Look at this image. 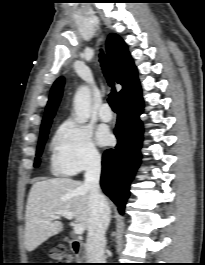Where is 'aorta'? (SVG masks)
<instances>
[{
  "instance_id": "obj_1",
  "label": "aorta",
  "mask_w": 205,
  "mask_h": 265,
  "mask_svg": "<svg viewBox=\"0 0 205 265\" xmlns=\"http://www.w3.org/2000/svg\"><path fill=\"white\" fill-rule=\"evenodd\" d=\"M91 96L87 86L78 89L74 96L73 106L75 110L76 120L79 123H85L90 118Z\"/></svg>"
}]
</instances>
